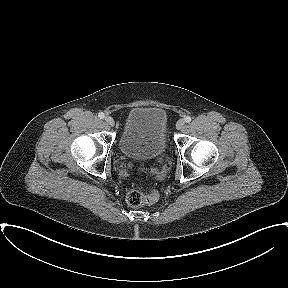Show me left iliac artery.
Wrapping results in <instances>:
<instances>
[{
	"label": "left iliac artery",
	"mask_w": 288,
	"mask_h": 288,
	"mask_svg": "<svg viewBox=\"0 0 288 288\" xmlns=\"http://www.w3.org/2000/svg\"><path fill=\"white\" fill-rule=\"evenodd\" d=\"M191 120H192V118H191L190 116L185 117V122H186V123L191 122Z\"/></svg>",
	"instance_id": "left-iliac-artery-1"
}]
</instances>
